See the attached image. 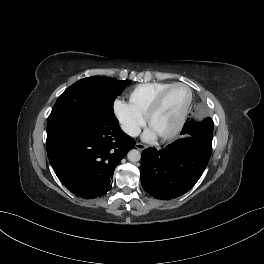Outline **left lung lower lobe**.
<instances>
[{
  "label": "left lung lower lobe",
  "instance_id": "left-lung-lower-lobe-1",
  "mask_svg": "<svg viewBox=\"0 0 264 264\" xmlns=\"http://www.w3.org/2000/svg\"><path fill=\"white\" fill-rule=\"evenodd\" d=\"M179 139L162 150L142 152L140 169L143 189L159 199H172L191 189L204 172L212 151L213 121L186 122Z\"/></svg>",
  "mask_w": 264,
  "mask_h": 264
}]
</instances>
